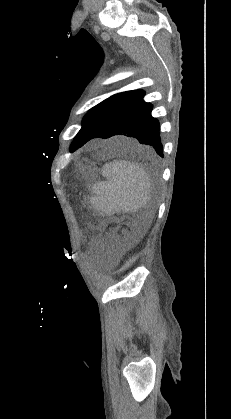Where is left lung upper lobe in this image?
Returning <instances> with one entry per match:
<instances>
[{
    "label": "left lung upper lobe",
    "mask_w": 231,
    "mask_h": 419,
    "mask_svg": "<svg viewBox=\"0 0 231 419\" xmlns=\"http://www.w3.org/2000/svg\"><path fill=\"white\" fill-rule=\"evenodd\" d=\"M134 92L135 90L115 94L90 109L83 118L82 128L75 136L70 150L73 151L109 112L127 100Z\"/></svg>",
    "instance_id": "5c2ea615"
}]
</instances>
